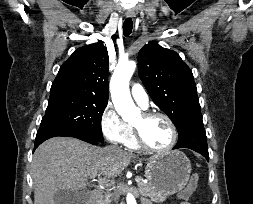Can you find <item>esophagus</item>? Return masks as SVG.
<instances>
[{
    "label": "esophagus",
    "mask_w": 253,
    "mask_h": 204,
    "mask_svg": "<svg viewBox=\"0 0 253 204\" xmlns=\"http://www.w3.org/2000/svg\"><path fill=\"white\" fill-rule=\"evenodd\" d=\"M127 17L133 18L135 16V12L133 10H128L126 12Z\"/></svg>",
    "instance_id": "1"
}]
</instances>
